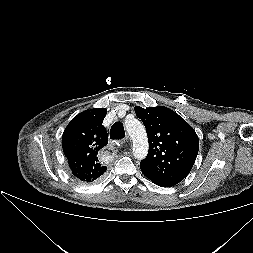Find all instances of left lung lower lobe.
I'll return each mask as SVG.
<instances>
[{"label": "left lung lower lobe", "mask_w": 253, "mask_h": 253, "mask_svg": "<svg viewBox=\"0 0 253 253\" xmlns=\"http://www.w3.org/2000/svg\"><path fill=\"white\" fill-rule=\"evenodd\" d=\"M153 182V181H152ZM155 184L159 185V186H162V187H170L168 185H165V184H162V183H158V182H154Z\"/></svg>", "instance_id": "left-lung-lower-lobe-1"}]
</instances>
